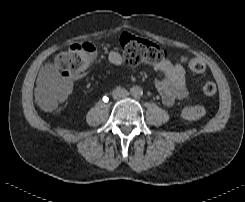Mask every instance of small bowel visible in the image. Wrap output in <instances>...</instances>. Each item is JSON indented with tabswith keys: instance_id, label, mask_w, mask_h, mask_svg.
<instances>
[{
	"instance_id": "obj_1",
	"label": "small bowel",
	"mask_w": 245,
	"mask_h": 202,
	"mask_svg": "<svg viewBox=\"0 0 245 202\" xmlns=\"http://www.w3.org/2000/svg\"><path fill=\"white\" fill-rule=\"evenodd\" d=\"M107 60L113 65H120L123 61L122 55L116 50H110ZM156 71L162 76L155 81V86L162 97V101L167 106H172L177 99H184L188 94L187 75L185 69L178 63H172L164 59L154 65ZM55 75L50 70L40 72L37 79V91L50 86L56 82ZM63 85L68 89V95L73 91L74 83L70 78L61 79Z\"/></svg>"
}]
</instances>
